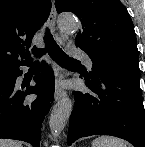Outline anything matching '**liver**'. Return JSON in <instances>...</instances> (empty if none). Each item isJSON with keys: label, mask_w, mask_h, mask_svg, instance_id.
Listing matches in <instances>:
<instances>
[{"label": "liver", "mask_w": 145, "mask_h": 147, "mask_svg": "<svg viewBox=\"0 0 145 147\" xmlns=\"http://www.w3.org/2000/svg\"><path fill=\"white\" fill-rule=\"evenodd\" d=\"M0 147H22V145L10 139H0Z\"/></svg>", "instance_id": "liver-1"}]
</instances>
